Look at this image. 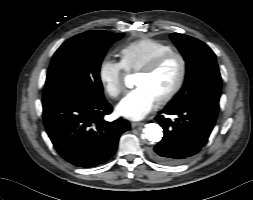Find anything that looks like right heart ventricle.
I'll list each match as a JSON object with an SVG mask.
<instances>
[{"mask_svg": "<svg viewBox=\"0 0 253 200\" xmlns=\"http://www.w3.org/2000/svg\"><path fill=\"white\" fill-rule=\"evenodd\" d=\"M172 51L173 48L166 43L152 38H143L125 45L120 50V63L125 71L136 72L157 57Z\"/></svg>", "mask_w": 253, "mask_h": 200, "instance_id": "e07e8e85", "label": "right heart ventricle"}]
</instances>
